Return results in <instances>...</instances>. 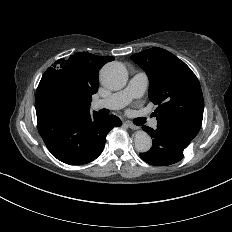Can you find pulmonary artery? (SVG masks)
Listing matches in <instances>:
<instances>
[{"mask_svg":"<svg viewBox=\"0 0 232 232\" xmlns=\"http://www.w3.org/2000/svg\"><path fill=\"white\" fill-rule=\"evenodd\" d=\"M146 90V80L143 74L134 73L130 77V86L118 94H108L104 99H94L93 108L100 109L106 107L108 109L127 108L131 103L137 107L138 114L146 121V123L156 126L157 121L154 120L152 114L143 107L142 97Z\"/></svg>","mask_w":232,"mask_h":232,"instance_id":"obj_1","label":"pulmonary artery"}]
</instances>
